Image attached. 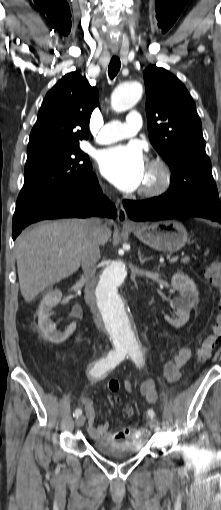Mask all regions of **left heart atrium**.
<instances>
[{"label": "left heart atrium", "instance_id": "1", "mask_svg": "<svg viewBox=\"0 0 221 510\" xmlns=\"http://www.w3.org/2000/svg\"><path fill=\"white\" fill-rule=\"evenodd\" d=\"M98 164L102 174L125 192H133L141 187L147 168L143 152L135 144L116 145L102 150Z\"/></svg>", "mask_w": 221, "mask_h": 510}]
</instances>
